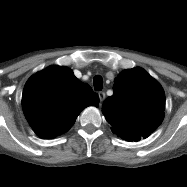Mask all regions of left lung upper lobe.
I'll return each mask as SVG.
<instances>
[{
    "mask_svg": "<svg viewBox=\"0 0 187 187\" xmlns=\"http://www.w3.org/2000/svg\"><path fill=\"white\" fill-rule=\"evenodd\" d=\"M113 95L102 113L113 133L127 141L147 138L163 121L165 94L161 85L142 68L122 71L115 79Z\"/></svg>",
    "mask_w": 187,
    "mask_h": 187,
    "instance_id": "obj_1",
    "label": "left lung upper lobe"
}]
</instances>
